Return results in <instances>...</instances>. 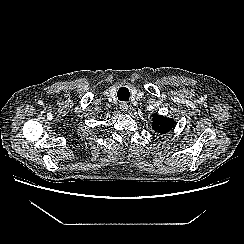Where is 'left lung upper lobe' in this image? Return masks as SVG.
I'll use <instances>...</instances> for the list:
<instances>
[{
    "label": "left lung upper lobe",
    "mask_w": 244,
    "mask_h": 244,
    "mask_svg": "<svg viewBox=\"0 0 244 244\" xmlns=\"http://www.w3.org/2000/svg\"><path fill=\"white\" fill-rule=\"evenodd\" d=\"M153 129L155 132L165 134L175 127V122L171 118L159 116L157 113L153 114Z\"/></svg>",
    "instance_id": "left-lung-upper-lobe-1"
}]
</instances>
